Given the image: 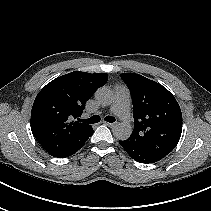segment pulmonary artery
<instances>
[{"label":"pulmonary artery","instance_id":"1","mask_svg":"<svg viewBox=\"0 0 211 211\" xmlns=\"http://www.w3.org/2000/svg\"><path fill=\"white\" fill-rule=\"evenodd\" d=\"M110 111L115 113L123 123L131 124L132 118L130 115V94L125 86H117L115 91V101L110 108Z\"/></svg>","mask_w":211,"mask_h":211}]
</instances>
